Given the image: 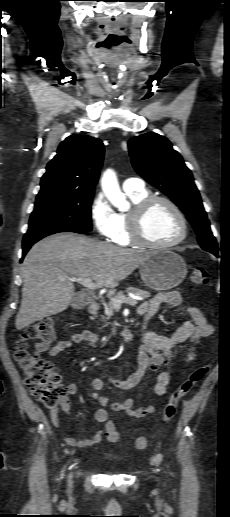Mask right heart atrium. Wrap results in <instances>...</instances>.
I'll use <instances>...</instances> for the list:
<instances>
[{
    "label": "right heart atrium",
    "instance_id": "obj_1",
    "mask_svg": "<svg viewBox=\"0 0 230 517\" xmlns=\"http://www.w3.org/2000/svg\"><path fill=\"white\" fill-rule=\"evenodd\" d=\"M90 216L98 234L112 240L118 229V214L103 194H97L92 200Z\"/></svg>",
    "mask_w": 230,
    "mask_h": 517
}]
</instances>
